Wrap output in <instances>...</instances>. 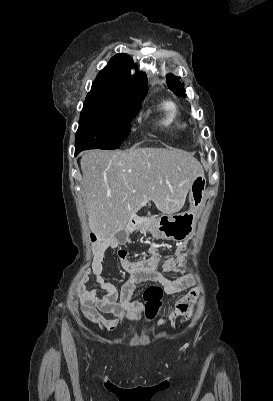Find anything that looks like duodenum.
I'll use <instances>...</instances> for the list:
<instances>
[{
    "label": "duodenum",
    "mask_w": 273,
    "mask_h": 401,
    "mask_svg": "<svg viewBox=\"0 0 273 401\" xmlns=\"http://www.w3.org/2000/svg\"><path fill=\"white\" fill-rule=\"evenodd\" d=\"M143 221H144L143 218L139 217L138 215H133L127 224V230L128 231L135 230L136 227L140 225Z\"/></svg>",
    "instance_id": "obj_1"
}]
</instances>
